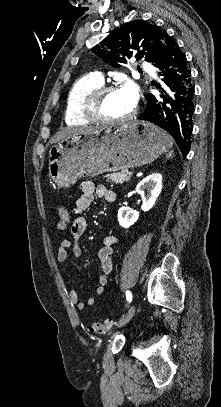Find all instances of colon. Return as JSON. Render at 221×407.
<instances>
[{
	"instance_id": "1",
	"label": "colon",
	"mask_w": 221,
	"mask_h": 407,
	"mask_svg": "<svg viewBox=\"0 0 221 407\" xmlns=\"http://www.w3.org/2000/svg\"><path fill=\"white\" fill-rule=\"evenodd\" d=\"M58 227L60 230H65L70 221L71 215L67 208L61 207L58 210ZM114 321L113 320H106L104 322H94L88 327V331L97 334H106L113 330L114 328Z\"/></svg>"
}]
</instances>
